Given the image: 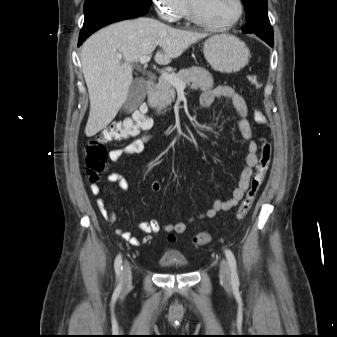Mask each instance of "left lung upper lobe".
Masks as SVG:
<instances>
[{
    "label": "left lung upper lobe",
    "instance_id": "left-lung-upper-lobe-1",
    "mask_svg": "<svg viewBox=\"0 0 337 337\" xmlns=\"http://www.w3.org/2000/svg\"><path fill=\"white\" fill-rule=\"evenodd\" d=\"M246 8V25L242 31L273 38V29L267 13V0H242Z\"/></svg>",
    "mask_w": 337,
    "mask_h": 337
}]
</instances>
